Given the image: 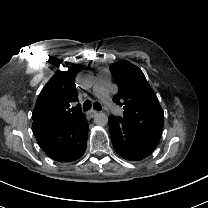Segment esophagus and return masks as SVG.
I'll return each mask as SVG.
<instances>
[{
  "label": "esophagus",
  "instance_id": "34e87169",
  "mask_svg": "<svg viewBox=\"0 0 208 208\" xmlns=\"http://www.w3.org/2000/svg\"><path fill=\"white\" fill-rule=\"evenodd\" d=\"M97 113H98V111H96V110H90L87 112L86 117H87V119H91V118L95 117V115Z\"/></svg>",
  "mask_w": 208,
  "mask_h": 208
}]
</instances>
